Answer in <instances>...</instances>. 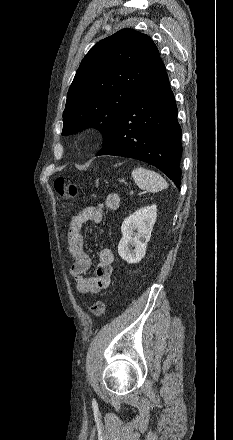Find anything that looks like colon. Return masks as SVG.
Instances as JSON below:
<instances>
[{"instance_id": "1", "label": "colon", "mask_w": 233, "mask_h": 440, "mask_svg": "<svg viewBox=\"0 0 233 440\" xmlns=\"http://www.w3.org/2000/svg\"><path fill=\"white\" fill-rule=\"evenodd\" d=\"M54 189L62 197H75L78 193L77 186L69 183L64 177H57L54 181ZM106 308L105 301L99 299L90 307V312L94 317H100L104 314Z\"/></svg>"}]
</instances>
